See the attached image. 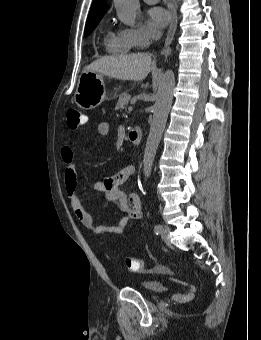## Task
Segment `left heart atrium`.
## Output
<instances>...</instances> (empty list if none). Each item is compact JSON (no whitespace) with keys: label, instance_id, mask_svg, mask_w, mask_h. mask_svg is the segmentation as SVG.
<instances>
[{"label":"left heart atrium","instance_id":"obj_1","mask_svg":"<svg viewBox=\"0 0 261 340\" xmlns=\"http://www.w3.org/2000/svg\"><path fill=\"white\" fill-rule=\"evenodd\" d=\"M169 20V14L162 8L155 7L149 11L148 22L154 33L166 26Z\"/></svg>","mask_w":261,"mask_h":340}]
</instances>
